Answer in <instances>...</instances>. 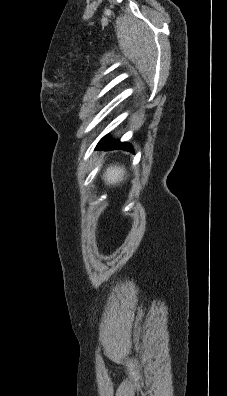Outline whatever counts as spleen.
I'll return each mask as SVG.
<instances>
[{
  "instance_id": "obj_1",
  "label": "spleen",
  "mask_w": 227,
  "mask_h": 396,
  "mask_svg": "<svg viewBox=\"0 0 227 396\" xmlns=\"http://www.w3.org/2000/svg\"><path fill=\"white\" fill-rule=\"evenodd\" d=\"M124 168L120 166H110L103 175L108 184H116L123 180Z\"/></svg>"
}]
</instances>
